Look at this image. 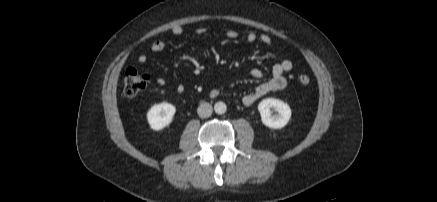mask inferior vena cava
<instances>
[{"label": "inferior vena cava", "mask_w": 437, "mask_h": 202, "mask_svg": "<svg viewBox=\"0 0 437 202\" xmlns=\"http://www.w3.org/2000/svg\"><path fill=\"white\" fill-rule=\"evenodd\" d=\"M212 111H213V108H212L211 104H209L207 102H202L197 109V113H198L199 117H201V118H207V117L211 116Z\"/></svg>", "instance_id": "obj_1"}]
</instances>
